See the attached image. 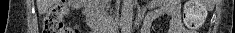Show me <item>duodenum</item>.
I'll use <instances>...</instances> for the list:
<instances>
[{
  "label": "duodenum",
  "instance_id": "duodenum-1",
  "mask_svg": "<svg viewBox=\"0 0 235 33\" xmlns=\"http://www.w3.org/2000/svg\"><path fill=\"white\" fill-rule=\"evenodd\" d=\"M87 24L91 28L92 33H102L105 24L103 23L100 13L93 1H86ZM140 21V18L138 19Z\"/></svg>",
  "mask_w": 235,
  "mask_h": 33
}]
</instances>
